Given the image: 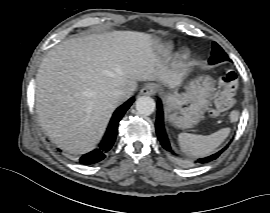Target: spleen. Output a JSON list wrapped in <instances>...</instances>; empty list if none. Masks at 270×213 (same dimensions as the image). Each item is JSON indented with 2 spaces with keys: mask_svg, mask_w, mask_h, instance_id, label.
I'll return each instance as SVG.
<instances>
[{
  "mask_svg": "<svg viewBox=\"0 0 270 213\" xmlns=\"http://www.w3.org/2000/svg\"><path fill=\"white\" fill-rule=\"evenodd\" d=\"M229 133L230 128L220 129L207 136L180 133L178 141L185 154L204 157L211 154L228 137Z\"/></svg>",
  "mask_w": 270,
  "mask_h": 213,
  "instance_id": "3e777b00",
  "label": "spleen"
}]
</instances>
